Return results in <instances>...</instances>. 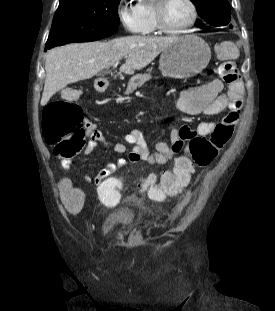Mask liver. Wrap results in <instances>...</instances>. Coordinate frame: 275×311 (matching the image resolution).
Returning a JSON list of instances; mask_svg holds the SVG:
<instances>
[{"mask_svg": "<svg viewBox=\"0 0 275 311\" xmlns=\"http://www.w3.org/2000/svg\"><path fill=\"white\" fill-rule=\"evenodd\" d=\"M177 37L128 36L109 42H88L57 47L49 51L41 105L70 83L90 79L115 65L123 57L120 72L132 75L150 64Z\"/></svg>", "mask_w": 275, "mask_h": 311, "instance_id": "obj_1", "label": "liver"}]
</instances>
